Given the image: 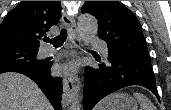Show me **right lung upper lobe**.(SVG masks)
<instances>
[{
	"label": "right lung upper lobe",
	"instance_id": "right-lung-upper-lobe-1",
	"mask_svg": "<svg viewBox=\"0 0 171 110\" xmlns=\"http://www.w3.org/2000/svg\"><path fill=\"white\" fill-rule=\"evenodd\" d=\"M60 9V1H22L7 14L0 26V47L38 49L39 39L61 17Z\"/></svg>",
	"mask_w": 171,
	"mask_h": 110
}]
</instances>
